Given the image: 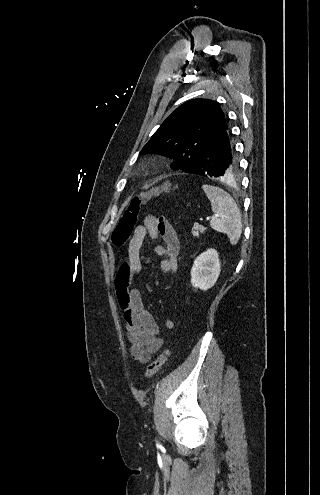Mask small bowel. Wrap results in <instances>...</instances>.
Listing matches in <instances>:
<instances>
[{
  "instance_id": "1",
  "label": "small bowel",
  "mask_w": 320,
  "mask_h": 495,
  "mask_svg": "<svg viewBox=\"0 0 320 495\" xmlns=\"http://www.w3.org/2000/svg\"><path fill=\"white\" fill-rule=\"evenodd\" d=\"M147 237L163 241L164 244L155 246L154 250L163 258L160 268L166 274L176 272L180 249L178 235L166 218L149 214L135 227L128 246V259L119 268L116 278L117 297L130 342V354L141 363H147L163 345L159 326L153 315L144 308L140 291L128 287L132 277L142 271L140 250ZM164 326L172 330L176 323L166 319Z\"/></svg>"
}]
</instances>
